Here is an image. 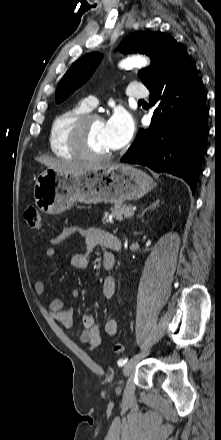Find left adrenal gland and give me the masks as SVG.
Instances as JSON below:
<instances>
[{
    "label": "left adrenal gland",
    "mask_w": 221,
    "mask_h": 440,
    "mask_svg": "<svg viewBox=\"0 0 221 440\" xmlns=\"http://www.w3.org/2000/svg\"><path fill=\"white\" fill-rule=\"evenodd\" d=\"M160 200L157 199L156 201H154L153 203H151L150 206H148L146 209H144L141 213V215L139 217L143 218L144 214L148 211V210H153L155 209L157 206H159Z\"/></svg>",
    "instance_id": "obj_1"
}]
</instances>
